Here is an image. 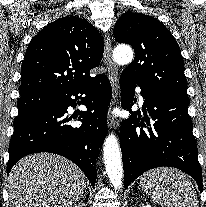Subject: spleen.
<instances>
[{"instance_id": "spleen-1", "label": "spleen", "mask_w": 206, "mask_h": 207, "mask_svg": "<svg viewBox=\"0 0 206 207\" xmlns=\"http://www.w3.org/2000/svg\"><path fill=\"white\" fill-rule=\"evenodd\" d=\"M142 190L156 204L167 207H198L192 182L174 168H156L140 179Z\"/></svg>"}]
</instances>
